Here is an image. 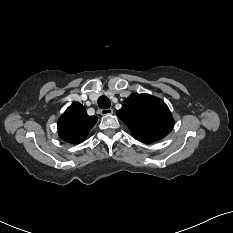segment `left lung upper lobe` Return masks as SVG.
<instances>
[{
  "mask_svg": "<svg viewBox=\"0 0 233 233\" xmlns=\"http://www.w3.org/2000/svg\"><path fill=\"white\" fill-rule=\"evenodd\" d=\"M133 137L141 142H155L173 128L174 120L167 105L149 94H131L117 111Z\"/></svg>",
  "mask_w": 233,
  "mask_h": 233,
  "instance_id": "left-lung-upper-lobe-1",
  "label": "left lung upper lobe"
}]
</instances>
